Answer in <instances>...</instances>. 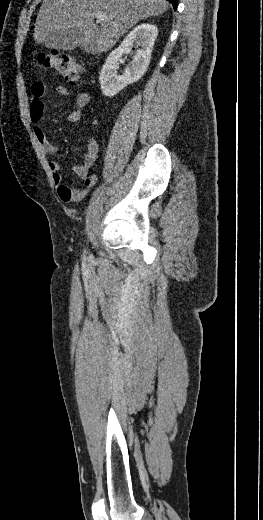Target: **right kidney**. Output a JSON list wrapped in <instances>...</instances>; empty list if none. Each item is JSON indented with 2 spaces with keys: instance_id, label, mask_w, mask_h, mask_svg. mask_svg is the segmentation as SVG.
<instances>
[{
  "instance_id": "1",
  "label": "right kidney",
  "mask_w": 263,
  "mask_h": 520,
  "mask_svg": "<svg viewBox=\"0 0 263 520\" xmlns=\"http://www.w3.org/2000/svg\"><path fill=\"white\" fill-rule=\"evenodd\" d=\"M157 35L158 29L155 25L140 24L127 35L117 49L109 54L99 76L101 90L105 96H115L144 75L151 60ZM133 46L140 48L135 52L132 64L124 70L123 75H118L119 59L123 54L131 53Z\"/></svg>"
}]
</instances>
